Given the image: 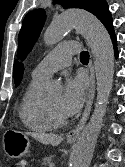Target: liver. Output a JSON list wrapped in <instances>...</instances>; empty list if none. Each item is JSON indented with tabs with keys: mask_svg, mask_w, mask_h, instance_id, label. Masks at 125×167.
<instances>
[{
	"mask_svg": "<svg viewBox=\"0 0 125 167\" xmlns=\"http://www.w3.org/2000/svg\"><path fill=\"white\" fill-rule=\"evenodd\" d=\"M26 135L32 136L36 140L40 141L43 144H50L52 146H58L62 140L63 137L61 135L57 134H45V133H24Z\"/></svg>",
	"mask_w": 125,
	"mask_h": 167,
	"instance_id": "obj_1",
	"label": "liver"
}]
</instances>
